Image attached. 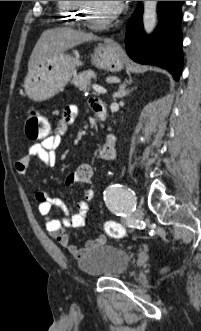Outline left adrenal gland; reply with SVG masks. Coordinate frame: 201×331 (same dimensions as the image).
I'll return each instance as SVG.
<instances>
[{
  "label": "left adrenal gland",
  "instance_id": "1",
  "mask_svg": "<svg viewBox=\"0 0 201 331\" xmlns=\"http://www.w3.org/2000/svg\"><path fill=\"white\" fill-rule=\"evenodd\" d=\"M132 90L133 89L126 90V84L125 83L124 84H121L119 86L118 92L115 94V96L117 98H123L124 96L128 95Z\"/></svg>",
  "mask_w": 201,
  "mask_h": 331
}]
</instances>
